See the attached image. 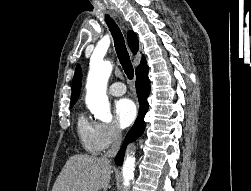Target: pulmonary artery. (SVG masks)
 <instances>
[{"label": "pulmonary artery", "instance_id": "1", "mask_svg": "<svg viewBox=\"0 0 251 191\" xmlns=\"http://www.w3.org/2000/svg\"><path fill=\"white\" fill-rule=\"evenodd\" d=\"M109 92L114 96H121L126 92V85L122 82L112 83L109 87Z\"/></svg>", "mask_w": 251, "mask_h": 191}]
</instances>
